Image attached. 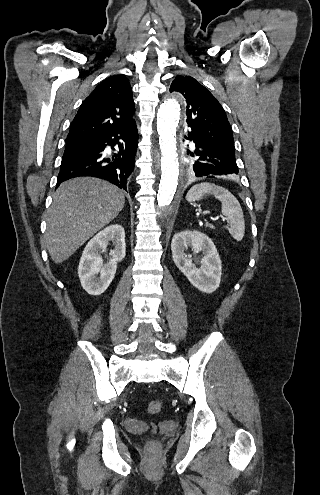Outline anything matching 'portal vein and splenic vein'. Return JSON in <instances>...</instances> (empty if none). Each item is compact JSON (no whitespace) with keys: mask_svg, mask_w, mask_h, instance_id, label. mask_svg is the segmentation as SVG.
I'll return each instance as SVG.
<instances>
[{"mask_svg":"<svg viewBox=\"0 0 320 495\" xmlns=\"http://www.w3.org/2000/svg\"><path fill=\"white\" fill-rule=\"evenodd\" d=\"M211 220H214V221H217L219 219V217H216V218H213V217H210ZM223 220H225V218H222Z\"/></svg>","mask_w":320,"mask_h":495,"instance_id":"18ae733b","label":"portal vein and splenic vein"}]
</instances>
